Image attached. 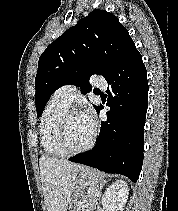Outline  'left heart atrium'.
Wrapping results in <instances>:
<instances>
[{"label":"left heart atrium","mask_w":178,"mask_h":211,"mask_svg":"<svg viewBox=\"0 0 178 211\" xmlns=\"http://www.w3.org/2000/svg\"><path fill=\"white\" fill-rule=\"evenodd\" d=\"M81 115L88 124H90L91 126H94V117H93L92 110L90 108L87 107Z\"/></svg>","instance_id":"left-heart-atrium-1"}]
</instances>
